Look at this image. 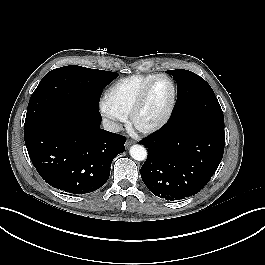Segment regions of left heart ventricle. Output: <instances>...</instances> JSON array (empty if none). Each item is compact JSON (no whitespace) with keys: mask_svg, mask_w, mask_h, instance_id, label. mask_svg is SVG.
I'll return each mask as SVG.
<instances>
[{"mask_svg":"<svg viewBox=\"0 0 265 265\" xmlns=\"http://www.w3.org/2000/svg\"><path fill=\"white\" fill-rule=\"evenodd\" d=\"M172 98V86L165 78L158 79L153 85L137 122L141 126L152 125L165 114Z\"/></svg>","mask_w":265,"mask_h":265,"instance_id":"left-heart-ventricle-1","label":"left heart ventricle"}]
</instances>
